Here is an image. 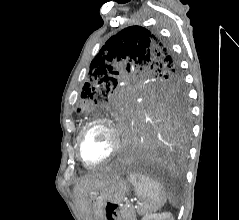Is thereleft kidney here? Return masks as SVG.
Listing matches in <instances>:
<instances>
[{
	"label": "left kidney",
	"instance_id": "obj_1",
	"mask_svg": "<svg viewBox=\"0 0 239 220\" xmlns=\"http://www.w3.org/2000/svg\"><path fill=\"white\" fill-rule=\"evenodd\" d=\"M142 220H174L171 213H151L145 215Z\"/></svg>",
	"mask_w": 239,
	"mask_h": 220
}]
</instances>
